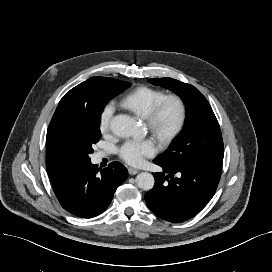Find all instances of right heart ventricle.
<instances>
[{"label": "right heart ventricle", "mask_w": 272, "mask_h": 272, "mask_svg": "<svg viewBox=\"0 0 272 272\" xmlns=\"http://www.w3.org/2000/svg\"><path fill=\"white\" fill-rule=\"evenodd\" d=\"M165 95L162 90L141 86L127 94L122 105L135 114L146 118L155 104Z\"/></svg>", "instance_id": "right-heart-ventricle-1"}]
</instances>
